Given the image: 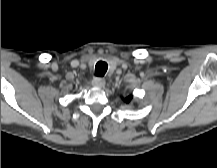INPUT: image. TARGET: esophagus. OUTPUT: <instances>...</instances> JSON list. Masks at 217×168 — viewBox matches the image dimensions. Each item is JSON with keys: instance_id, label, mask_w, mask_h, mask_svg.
<instances>
[{"instance_id": "34e87169", "label": "esophagus", "mask_w": 217, "mask_h": 168, "mask_svg": "<svg viewBox=\"0 0 217 168\" xmlns=\"http://www.w3.org/2000/svg\"><path fill=\"white\" fill-rule=\"evenodd\" d=\"M105 79L103 78H100V77H95L93 80H92V85L94 87H98V88H102L105 86Z\"/></svg>"}]
</instances>
